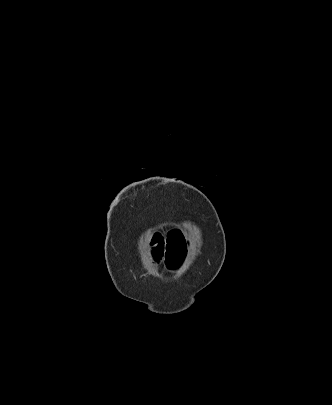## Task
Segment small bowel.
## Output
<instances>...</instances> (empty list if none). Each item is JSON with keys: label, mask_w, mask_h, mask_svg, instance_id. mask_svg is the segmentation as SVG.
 I'll return each mask as SVG.
<instances>
[{"label": "small bowel", "mask_w": 332, "mask_h": 405, "mask_svg": "<svg viewBox=\"0 0 332 405\" xmlns=\"http://www.w3.org/2000/svg\"><path fill=\"white\" fill-rule=\"evenodd\" d=\"M149 246L154 263H162L170 272L177 270L184 263L187 247L182 243L179 233H172L169 237L155 234Z\"/></svg>", "instance_id": "1"}]
</instances>
